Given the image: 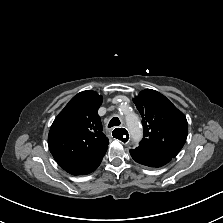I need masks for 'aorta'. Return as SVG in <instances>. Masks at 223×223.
<instances>
[{"label": "aorta", "instance_id": "aorta-1", "mask_svg": "<svg viewBox=\"0 0 223 223\" xmlns=\"http://www.w3.org/2000/svg\"><path fill=\"white\" fill-rule=\"evenodd\" d=\"M126 124L133 141H139L142 138V129L138 116L132 112L127 113Z\"/></svg>", "mask_w": 223, "mask_h": 223}]
</instances>
